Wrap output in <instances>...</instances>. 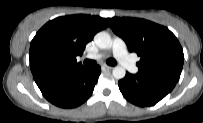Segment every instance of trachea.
<instances>
[{"mask_svg": "<svg viewBox=\"0 0 203 123\" xmlns=\"http://www.w3.org/2000/svg\"><path fill=\"white\" fill-rule=\"evenodd\" d=\"M106 62H107L108 65H111V66L117 65L116 60H114L112 58L108 59ZM95 64H96V61H94V60H88L87 59V60L84 61V65L88 66V67L93 66Z\"/></svg>", "mask_w": 203, "mask_h": 123, "instance_id": "trachea-1", "label": "trachea"}]
</instances>
